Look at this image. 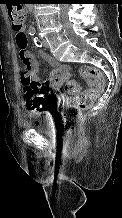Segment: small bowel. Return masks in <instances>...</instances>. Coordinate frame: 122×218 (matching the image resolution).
<instances>
[{"instance_id": "1", "label": "small bowel", "mask_w": 122, "mask_h": 218, "mask_svg": "<svg viewBox=\"0 0 122 218\" xmlns=\"http://www.w3.org/2000/svg\"><path fill=\"white\" fill-rule=\"evenodd\" d=\"M22 31L24 32L25 28H23ZM41 57L46 63L53 67V71L48 80H41L38 77V61L29 52L28 59L24 63L28 68L32 81L38 86V89L34 94L35 102L36 104L42 106L43 109V107L47 105L46 88L49 86L54 91H60L63 84L70 78L71 72L68 66L60 64L57 60L48 54L42 53ZM60 99L64 102L69 101V98L64 95H62Z\"/></svg>"}]
</instances>
